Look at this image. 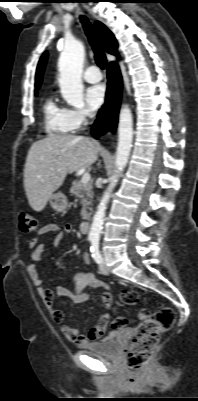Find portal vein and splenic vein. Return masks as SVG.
<instances>
[{
    "mask_svg": "<svg viewBox=\"0 0 198 401\" xmlns=\"http://www.w3.org/2000/svg\"><path fill=\"white\" fill-rule=\"evenodd\" d=\"M91 176L88 172L84 173L81 178V183L86 184L90 181Z\"/></svg>",
    "mask_w": 198,
    "mask_h": 401,
    "instance_id": "1",
    "label": "portal vein and splenic vein"
}]
</instances>
